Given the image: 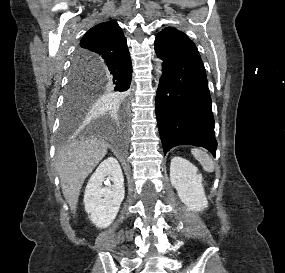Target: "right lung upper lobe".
Here are the masks:
<instances>
[{
	"label": "right lung upper lobe",
	"mask_w": 285,
	"mask_h": 273,
	"mask_svg": "<svg viewBox=\"0 0 285 273\" xmlns=\"http://www.w3.org/2000/svg\"><path fill=\"white\" fill-rule=\"evenodd\" d=\"M129 55L122 29L114 20L92 27L81 39L73 67L78 73L97 77L95 67L117 61Z\"/></svg>",
	"instance_id": "right-lung-upper-lobe-1"
}]
</instances>
